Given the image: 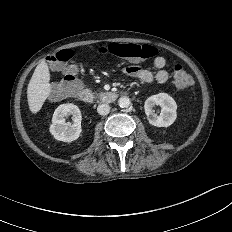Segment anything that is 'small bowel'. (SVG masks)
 I'll list each match as a JSON object with an SVG mask.
<instances>
[{
    "label": "small bowel",
    "mask_w": 232,
    "mask_h": 232,
    "mask_svg": "<svg viewBox=\"0 0 232 232\" xmlns=\"http://www.w3.org/2000/svg\"><path fill=\"white\" fill-rule=\"evenodd\" d=\"M166 60L162 56H157L153 60V67L155 68L156 72L153 73L148 69H143L138 66H131L126 68V72L137 78L139 81L151 84L154 81L158 83H165L169 78V73L165 69Z\"/></svg>",
    "instance_id": "1"
}]
</instances>
